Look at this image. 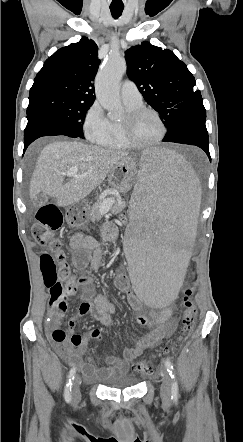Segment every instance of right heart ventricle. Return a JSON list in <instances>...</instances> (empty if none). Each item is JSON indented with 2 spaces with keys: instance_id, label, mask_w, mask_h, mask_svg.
I'll return each mask as SVG.
<instances>
[{
  "instance_id": "obj_1",
  "label": "right heart ventricle",
  "mask_w": 243,
  "mask_h": 442,
  "mask_svg": "<svg viewBox=\"0 0 243 442\" xmlns=\"http://www.w3.org/2000/svg\"><path fill=\"white\" fill-rule=\"evenodd\" d=\"M127 111L133 110L142 104H130L124 102ZM122 120H109V126L107 132L99 138L96 143L113 149H127L129 146L125 143L121 132Z\"/></svg>"
}]
</instances>
